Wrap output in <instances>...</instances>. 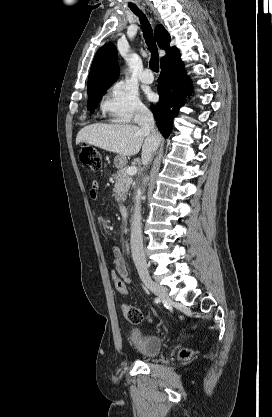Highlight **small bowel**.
Listing matches in <instances>:
<instances>
[{
	"mask_svg": "<svg viewBox=\"0 0 272 417\" xmlns=\"http://www.w3.org/2000/svg\"><path fill=\"white\" fill-rule=\"evenodd\" d=\"M98 190H99V183L97 181H93L91 184L90 189V198L92 200L98 199ZM112 253L114 256L113 264L114 270L112 271V278L114 279L115 276H119L125 284L131 283V279L129 278V272L127 268L126 261L121 255V250L118 245H114L112 247Z\"/></svg>",
	"mask_w": 272,
	"mask_h": 417,
	"instance_id": "small-bowel-1",
	"label": "small bowel"
}]
</instances>
